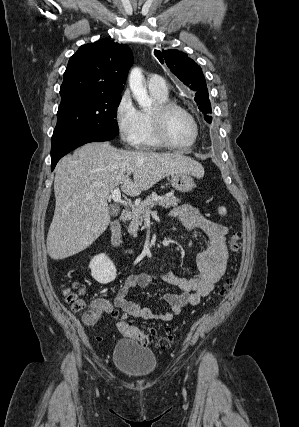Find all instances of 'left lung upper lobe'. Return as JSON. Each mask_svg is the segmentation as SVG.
Returning a JSON list of instances; mask_svg holds the SVG:
<instances>
[{"label": "left lung upper lobe", "mask_w": 299, "mask_h": 427, "mask_svg": "<svg viewBox=\"0 0 299 427\" xmlns=\"http://www.w3.org/2000/svg\"><path fill=\"white\" fill-rule=\"evenodd\" d=\"M156 56L161 63H166L171 72L192 90L198 108L205 115V120L211 123L212 117L209 115L212 112L211 104L201 67L188 58L186 53L178 50L158 51Z\"/></svg>", "instance_id": "obj_1"}]
</instances>
